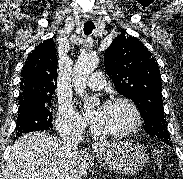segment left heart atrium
Masks as SVG:
<instances>
[{"instance_id": "1", "label": "left heart atrium", "mask_w": 183, "mask_h": 179, "mask_svg": "<svg viewBox=\"0 0 183 179\" xmlns=\"http://www.w3.org/2000/svg\"><path fill=\"white\" fill-rule=\"evenodd\" d=\"M90 126L95 130H101L104 122V108L99 107L94 112L87 115Z\"/></svg>"}]
</instances>
